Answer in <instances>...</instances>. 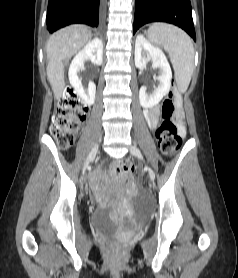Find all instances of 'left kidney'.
Here are the masks:
<instances>
[{
	"mask_svg": "<svg viewBox=\"0 0 238 278\" xmlns=\"http://www.w3.org/2000/svg\"><path fill=\"white\" fill-rule=\"evenodd\" d=\"M149 61H152L153 68L159 69V76L156 77L159 84L151 94L146 92L145 86L140 88L139 100L143 108L154 107L169 92L172 71L163 51L151 45L143 35H138L135 41V66L143 70Z\"/></svg>",
	"mask_w": 238,
	"mask_h": 278,
	"instance_id": "obj_1",
	"label": "left kidney"
}]
</instances>
